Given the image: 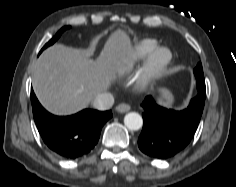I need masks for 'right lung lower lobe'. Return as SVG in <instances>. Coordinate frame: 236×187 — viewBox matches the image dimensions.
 <instances>
[{"mask_svg":"<svg viewBox=\"0 0 236 187\" xmlns=\"http://www.w3.org/2000/svg\"><path fill=\"white\" fill-rule=\"evenodd\" d=\"M33 117L45 144L64 159L87 155L97 144L102 126L112 117L111 111L85 109L71 116L47 112L31 90Z\"/></svg>","mask_w":236,"mask_h":187,"instance_id":"1","label":"right lung lower lobe"}]
</instances>
